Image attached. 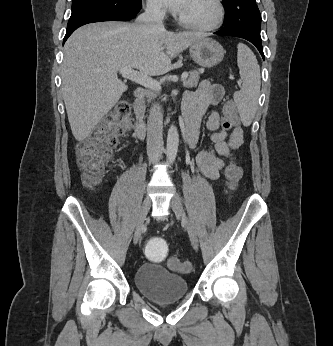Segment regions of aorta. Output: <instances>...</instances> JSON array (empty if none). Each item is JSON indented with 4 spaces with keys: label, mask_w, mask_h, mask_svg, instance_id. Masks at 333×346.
<instances>
[{
    "label": "aorta",
    "mask_w": 333,
    "mask_h": 346,
    "mask_svg": "<svg viewBox=\"0 0 333 346\" xmlns=\"http://www.w3.org/2000/svg\"><path fill=\"white\" fill-rule=\"evenodd\" d=\"M178 145H179L178 130L175 126H171L168 130L167 147H166L167 159L170 163H172L176 158Z\"/></svg>",
    "instance_id": "obj_1"
}]
</instances>
